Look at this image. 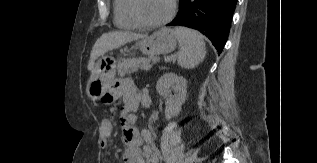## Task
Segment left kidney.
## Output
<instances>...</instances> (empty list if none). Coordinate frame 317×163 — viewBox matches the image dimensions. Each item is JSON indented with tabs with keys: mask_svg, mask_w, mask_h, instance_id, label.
I'll return each instance as SVG.
<instances>
[{
	"mask_svg": "<svg viewBox=\"0 0 317 163\" xmlns=\"http://www.w3.org/2000/svg\"><path fill=\"white\" fill-rule=\"evenodd\" d=\"M157 92L165 98L166 120L177 116L186 100L187 81L175 73H165L157 81ZM174 92V94H172Z\"/></svg>",
	"mask_w": 317,
	"mask_h": 163,
	"instance_id": "obj_1",
	"label": "left kidney"
}]
</instances>
